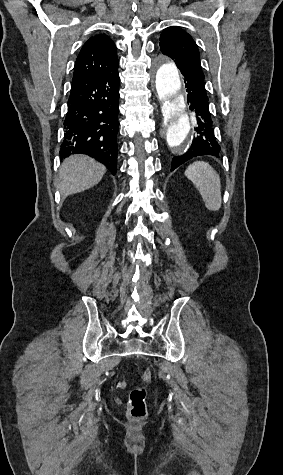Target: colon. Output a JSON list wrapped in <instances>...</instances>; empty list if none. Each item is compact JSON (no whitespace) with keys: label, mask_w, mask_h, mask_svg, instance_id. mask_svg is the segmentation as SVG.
<instances>
[{"label":"colon","mask_w":283,"mask_h":475,"mask_svg":"<svg viewBox=\"0 0 283 475\" xmlns=\"http://www.w3.org/2000/svg\"><path fill=\"white\" fill-rule=\"evenodd\" d=\"M153 370L145 369L139 383L131 389L128 399V415L134 420H142L147 416L146 386L151 381Z\"/></svg>","instance_id":"colon-1"}]
</instances>
